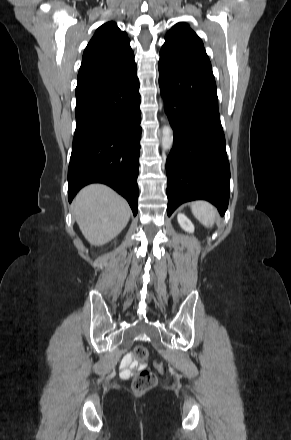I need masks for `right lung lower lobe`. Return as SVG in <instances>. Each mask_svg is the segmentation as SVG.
<instances>
[{
	"label": "right lung lower lobe",
	"instance_id": "right-lung-lower-lobe-1",
	"mask_svg": "<svg viewBox=\"0 0 291 440\" xmlns=\"http://www.w3.org/2000/svg\"><path fill=\"white\" fill-rule=\"evenodd\" d=\"M137 68L114 79L77 85L76 130L68 168V200L90 183H104L138 212L142 128Z\"/></svg>",
	"mask_w": 291,
	"mask_h": 440
}]
</instances>
